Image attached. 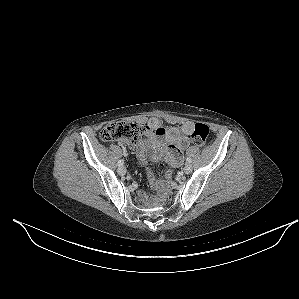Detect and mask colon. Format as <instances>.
I'll return each mask as SVG.
<instances>
[{"mask_svg":"<svg viewBox=\"0 0 299 299\" xmlns=\"http://www.w3.org/2000/svg\"><path fill=\"white\" fill-rule=\"evenodd\" d=\"M146 128L143 125L125 122L115 121L106 125L100 132L101 140L105 142L110 141H127L129 143H135L141 135L145 132ZM209 135V127L204 123H196L194 129L190 134V138L197 146L205 144ZM167 188L164 184L159 188V196L162 198L166 195Z\"/></svg>","mask_w":299,"mask_h":299,"instance_id":"1","label":"colon"}]
</instances>
